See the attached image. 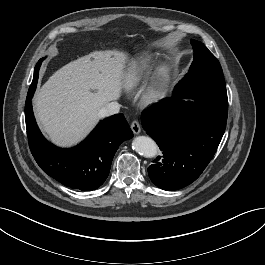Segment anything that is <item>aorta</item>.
I'll return each instance as SVG.
<instances>
[{"label":"aorta","mask_w":265,"mask_h":265,"mask_svg":"<svg viewBox=\"0 0 265 265\" xmlns=\"http://www.w3.org/2000/svg\"><path fill=\"white\" fill-rule=\"evenodd\" d=\"M132 148L141 156L152 158L157 155L158 147L153 139L146 136H138L132 142Z\"/></svg>","instance_id":"aorta-1"}]
</instances>
